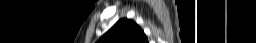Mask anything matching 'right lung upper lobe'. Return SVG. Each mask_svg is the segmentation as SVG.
<instances>
[{"label": "right lung upper lobe", "instance_id": "obj_1", "mask_svg": "<svg viewBox=\"0 0 256 43\" xmlns=\"http://www.w3.org/2000/svg\"><path fill=\"white\" fill-rule=\"evenodd\" d=\"M99 43H148V39L134 21L122 19L100 38Z\"/></svg>", "mask_w": 256, "mask_h": 43}]
</instances>
